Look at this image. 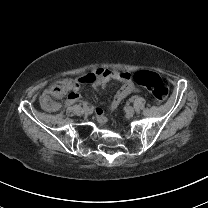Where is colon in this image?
<instances>
[{
	"instance_id": "obj_1",
	"label": "colon",
	"mask_w": 208,
	"mask_h": 208,
	"mask_svg": "<svg viewBox=\"0 0 208 208\" xmlns=\"http://www.w3.org/2000/svg\"><path fill=\"white\" fill-rule=\"evenodd\" d=\"M136 84L145 87L151 96L157 101L167 98L169 89L163 79L155 72L139 71L133 76ZM85 84L77 83L71 78H64L62 81H54L46 89V94L38 101V108L42 112H56L60 108V100L68 97L76 89L84 87Z\"/></svg>"
}]
</instances>
